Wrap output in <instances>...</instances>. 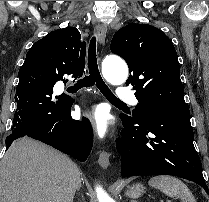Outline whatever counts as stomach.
Here are the masks:
<instances>
[{
	"mask_svg": "<svg viewBox=\"0 0 209 202\" xmlns=\"http://www.w3.org/2000/svg\"><path fill=\"white\" fill-rule=\"evenodd\" d=\"M144 192V187L142 184H135L131 187H128L126 195L131 198L140 197Z\"/></svg>",
	"mask_w": 209,
	"mask_h": 202,
	"instance_id": "0dacf381",
	"label": "stomach"
}]
</instances>
